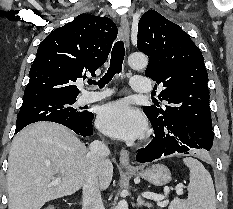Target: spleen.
Instances as JSON below:
<instances>
[{
    "label": "spleen",
    "instance_id": "obj_1",
    "mask_svg": "<svg viewBox=\"0 0 233 209\" xmlns=\"http://www.w3.org/2000/svg\"><path fill=\"white\" fill-rule=\"evenodd\" d=\"M190 170L187 200L174 199L169 209H216L213 180L204 165L194 158H184Z\"/></svg>",
    "mask_w": 233,
    "mask_h": 209
}]
</instances>
